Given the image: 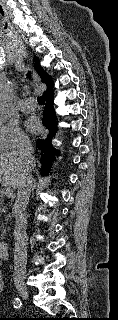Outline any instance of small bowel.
I'll list each match as a JSON object with an SVG mask.
<instances>
[{
    "label": "small bowel",
    "mask_w": 118,
    "mask_h": 320,
    "mask_svg": "<svg viewBox=\"0 0 118 320\" xmlns=\"http://www.w3.org/2000/svg\"><path fill=\"white\" fill-rule=\"evenodd\" d=\"M3 289V280H2V275H1V271H0V292Z\"/></svg>",
    "instance_id": "c3829d8e"
}]
</instances>
